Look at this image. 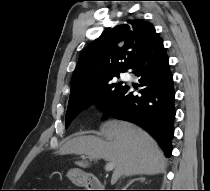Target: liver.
Returning a JSON list of instances; mask_svg holds the SVG:
<instances>
[{
    "instance_id": "6515ba94",
    "label": "liver",
    "mask_w": 210,
    "mask_h": 191,
    "mask_svg": "<svg viewBox=\"0 0 210 191\" xmlns=\"http://www.w3.org/2000/svg\"><path fill=\"white\" fill-rule=\"evenodd\" d=\"M103 138L82 135L67 141L59 153L86 155L90 161L114 162L111 182L121 176L155 175L165 170L166 160L154 139L140 127L124 121L110 120L100 128ZM80 167L89 162L78 161Z\"/></svg>"
}]
</instances>
